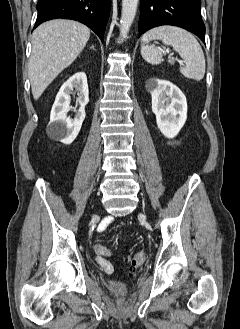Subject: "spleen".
Wrapping results in <instances>:
<instances>
[{
    "instance_id": "3e777b00",
    "label": "spleen",
    "mask_w": 240,
    "mask_h": 329,
    "mask_svg": "<svg viewBox=\"0 0 240 329\" xmlns=\"http://www.w3.org/2000/svg\"><path fill=\"white\" fill-rule=\"evenodd\" d=\"M160 39L166 45H171L184 59L185 65L180 67L183 76L200 81L205 74V57L196 38L188 31L174 26H160L147 31L142 36L141 55L145 61L157 65L163 61L162 52L155 47H149L151 40Z\"/></svg>"
}]
</instances>
